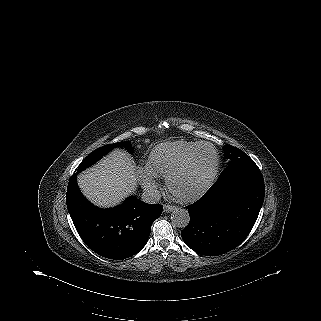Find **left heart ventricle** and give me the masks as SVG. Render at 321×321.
<instances>
[{
    "instance_id": "obj_1",
    "label": "left heart ventricle",
    "mask_w": 321,
    "mask_h": 321,
    "mask_svg": "<svg viewBox=\"0 0 321 321\" xmlns=\"http://www.w3.org/2000/svg\"><path fill=\"white\" fill-rule=\"evenodd\" d=\"M215 163L214 153L209 147L200 148L186 170L177 175L172 183L173 190L181 195H189L205 185Z\"/></svg>"
}]
</instances>
